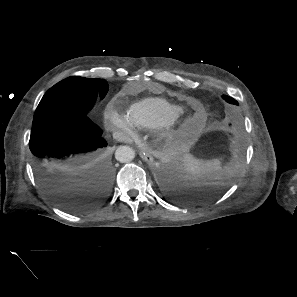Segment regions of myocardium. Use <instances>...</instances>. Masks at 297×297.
Instances as JSON below:
<instances>
[{
  "instance_id": "myocardium-1",
  "label": "myocardium",
  "mask_w": 297,
  "mask_h": 297,
  "mask_svg": "<svg viewBox=\"0 0 297 297\" xmlns=\"http://www.w3.org/2000/svg\"><path fill=\"white\" fill-rule=\"evenodd\" d=\"M181 126V120H175L167 123H163L155 127V133L159 140L158 145L164 147L167 145L168 141L172 139L173 134L177 132L178 128Z\"/></svg>"
}]
</instances>
